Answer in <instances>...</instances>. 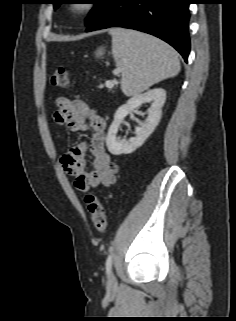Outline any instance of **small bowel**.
<instances>
[{"mask_svg": "<svg viewBox=\"0 0 236 321\" xmlns=\"http://www.w3.org/2000/svg\"><path fill=\"white\" fill-rule=\"evenodd\" d=\"M53 120L73 132L90 131V141L80 142L61 157L63 169L74 178V186L80 192L91 187L111 186L119 172L105 149L106 120L81 100L60 97L55 102ZM91 154V169H87V152Z\"/></svg>", "mask_w": 236, "mask_h": 321, "instance_id": "c3829d8e", "label": "small bowel"}]
</instances>
